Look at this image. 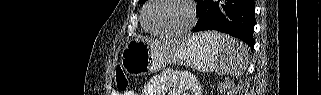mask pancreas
I'll use <instances>...</instances> for the list:
<instances>
[{
    "label": "pancreas",
    "instance_id": "obj_1",
    "mask_svg": "<svg viewBox=\"0 0 321 95\" xmlns=\"http://www.w3.org/2000/svg\"><path fill=\"white\" fill-rule=\"evenodd\" d=\"M223 87H224V86H219V89H220V88H223Z\"/></svg>",
    "mask_w": 321,
    "mask_h": 95
}]
</instances>
